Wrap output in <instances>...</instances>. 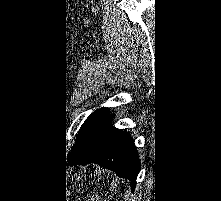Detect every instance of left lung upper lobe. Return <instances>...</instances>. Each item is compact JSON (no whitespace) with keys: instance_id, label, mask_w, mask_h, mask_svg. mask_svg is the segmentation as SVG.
<instances>
[{"instance_id":"5c2ea615","label":"left lung upper lobe","mask_w":221,"mask_h":201,"mask_svg":"<svg viewBox=\"0 0 221 201\" xmlns=\"http://www.w3.org/2000/svg\"><path fill=\"white\" fill-rule=\"evenodd\" d=\"M108 115L106 108H100L95 110L82 125L81 130L78 133L76 142L69 152V158L77 154L79 151L87 147L93 140L97 130L101 123Z\"/></svg>"}]
</instances>
